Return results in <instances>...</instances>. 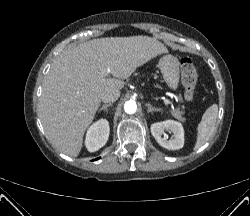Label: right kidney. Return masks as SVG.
Returning <instances> with one entry per match:
<instances>
[{
	"label": "right kidney",
	"mask_w": 250,
	"mask_h": 216,
	"mask_svg": "<svg viewBox=\"0 0 250 216\" xmlns=\"http://www.w3.org/2000/svg\"><path fill=\"white\" fill-rule=\"evenodd\" d=\"M110 128L106 119H100L91 125L86 134L85 145L88 151L95 152L103 147L109 138Z\"/></svg>",
	"instance_id": "right-kidney-1"
}]
</instances>
